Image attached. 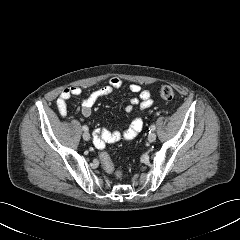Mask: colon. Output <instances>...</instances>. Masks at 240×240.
I'll return each instance as SVG.
<instances>
[{
	"label": "colon",
	"mask_w": 240,
	"mask_h": 240,
	"mask_svg": "<svg viewBox=\"0 0 240 240\" xmlns=\"http://www.w3.org/2000/svg\"><path fill=\"white\" fill-rule=\"evenodd\" d=\"M160 96L164 100H171L174 97V91L170 86L165 85L160 89ZM99 160L106 172L114 174L117 178L122 177V172L115 168L112 159L108 153L101 152L99 154Z\"/></svg>",
	"instance_id": "1"
}]
</instances>
